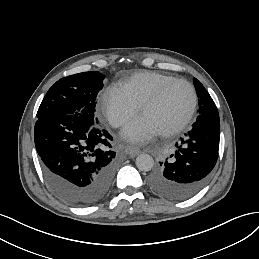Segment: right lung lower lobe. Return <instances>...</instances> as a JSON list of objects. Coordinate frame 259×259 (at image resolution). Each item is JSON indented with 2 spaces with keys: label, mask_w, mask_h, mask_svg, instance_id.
<instances>
[{
  "label": "right lung lower lobe",
  "mask_w": 259,
  "mask_h": 259,
  "mask_svg": "<svg viewBox=\"0 0 259 259\" xmlns=\"http://www.w3.org/2000/svg\"><path fill=\"white\" fill-rule=\"evenodd\" d=\"M112 136L75 114L48 115L34 128L44 176L63 201L79 207L99 202L109 191L116 152Z\"/></svg>",
  "instance_id": "obj_1"
}]
</instances>
